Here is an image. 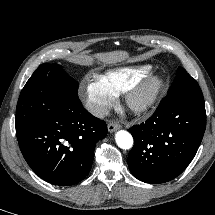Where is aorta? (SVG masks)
<instances>
[{
  "label": "aorta",
  "instance_id": "aorta-1",
  "mask_svg": "<svg viewBox=\"0 0 215 215\" xmlns=\"http://www.w3.org/2000/svg\"><path fill=\"white\" fill-rule=\"evenodd\" d=\"M117 145L122 149H130L133 146L131 134L125 130H120L115 135Z\"/></svg>",
  "mask_w": 215,
  "mask_h": 215
}]
</instances>
